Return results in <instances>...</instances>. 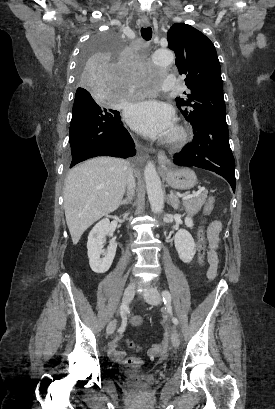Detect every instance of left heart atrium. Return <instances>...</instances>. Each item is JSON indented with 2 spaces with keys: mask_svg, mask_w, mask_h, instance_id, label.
Segmentation results:
<instances>
[{
  "mask_svg": "<svg viewBox=\"0 0 275 409\" xmlns=\"http://www.w3.org/2000/svg\"><path fill=\"white\" fill-rule=\"evenodd\" d=\"M125 116L136 131L148 137L166 135L173 128L172 108L155 100H140L129 104Z\"/></svg>",
  "mask_w": 275,
  "mask_h": 409,
  "instance_id": "left-heart-atrium-1",
  "label": "left heart atrium"
}]
</instances>
